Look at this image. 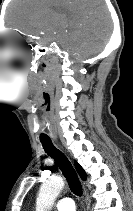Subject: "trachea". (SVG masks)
<instances>
[{"mask_svg":"<svg viewBox=\"0 0 133 211\" xmlns=\"http://www.w3.org/2000/svg\"><path fill=\"white\" fill-rule=\"evenodd\" d=\"M41 143L45 152L56 161L68 182L70 190L80 197L82 195V185L71 162L62 151L54 146L51 140H41Z\"/></svg>","mask_w":133,"mask_h":211,"instance_id":"trachea-1","label":"trachea"}]
</instances>
